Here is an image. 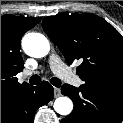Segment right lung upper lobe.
<instances>
[{
    "mask_svg": "<svg viewBox=\"0 0 123 123\" xmlns=\"http://www.w3.org/2000/svg\"><path fill=\"white\" fill-rule=\"evenodd\" d=\"M40 20L12 15L1 17V98L21 94L32 87L26 82L20 84L16 78L24 68L20 41Z\"/></svg>",
    "mask_w": 123,
    "mask_h": 123,
    "instance_id": "right-lung-upper-lobe-1",
    "label": "right lung upper lobe"
}]
</instances>
